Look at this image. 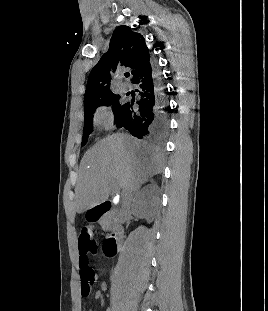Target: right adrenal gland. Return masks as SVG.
<instances>
[{
    "instance_id": "1",
    "label": "right adrenal gland",
    "mask_w": 268,
    "mask_h": 311,
    "mask_svg": "<svg viewBox=\"0 0 268 311\" xmlns=\"http://www.w3.org/2000/svg\"><path fill=\"white\" fill-rule=\"evenodd\" d=\"M143 184H144V183H143ZM141 186H142V184H141L136 190L140 189Z\"/></svg>"
}]
</instances>
